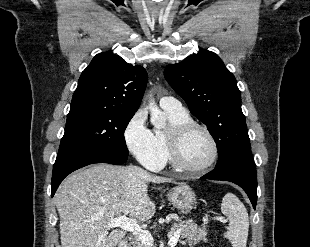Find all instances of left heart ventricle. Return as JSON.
<instances>
[{
	"label": "left heart ventricle",
	"mask_w": 310,
	"mask_h": 247,
	"mask_svg": "<svg viewBox=\"0 0 310 247\" xmlns=\"http://www.w3.org/2000/svg\"><path fill=\"white\" fill-rule=\"evenodd\" d=\"M184 162L190 167H201L212 156V146L208 137L199 130L189 133L182 143Z\"/></svg>",
	"instance_id": "b2bd125f"
}]
</instances>
